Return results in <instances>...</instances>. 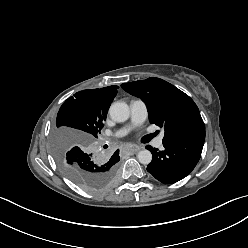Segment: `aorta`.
I'll return each instance as SVG.
<instances>
[{"label":"aorta","mask_w":248,"mask_h":248,"mask_svg":"<svg viewBox=\"0 0 248 248\" xmlns=\"http://www.w3.org/2000/svg\"><path fill=\"white\" fill-rule=\"evenodd\" d=\"M111 118L116 122H124L129 118V106L125 102H114L109 109ZM137 159L141 164L147 165L152 160V154L149 150H141L137 154Z\"/></svg>","instance_id":"aorta-1"}]
</instances>
